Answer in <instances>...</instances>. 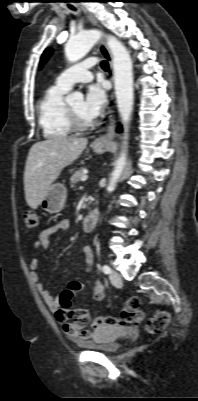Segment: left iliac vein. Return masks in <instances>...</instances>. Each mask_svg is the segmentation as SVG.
Wrapping results in <instances>:
<instances>
[{"label": "left iliac vein", "instance_id": "1", "mask_svg": "<svg viewBox=\"0 0 198 401\" xmlns=\"http://www.w3.org/2000/svg\"><path fill=\"white\" fill-rule=\"evenodd\" d=\"M109 278H110L111 283L115 286H120L122 283V278H121L120 274L115 270L111 271Z\"/></svg>", "mask_w": 198, "mask_h": 401}]
</instances>
